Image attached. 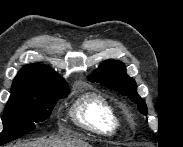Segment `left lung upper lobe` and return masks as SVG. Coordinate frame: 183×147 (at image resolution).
<instances>
[{
    "instance_id": "obj_1",
    "label": "left lung upper lobe",
    "mask_w": 183,
    "mask_h": 147,
    "mask_svg": "<svg viewBox=\"0 0 183 147\" xmlns=\"http://www.w3.org/2000/svg\"><path fill=\"white\" fill-rule=\"evenodd\" d=\"M88 79L106 87L114 88L136 103L144 115L147 114L146 103L137 93L135 80L126 74V66L124 63L114 60L106 61Z\"/></svg>"
}]
</instances>
